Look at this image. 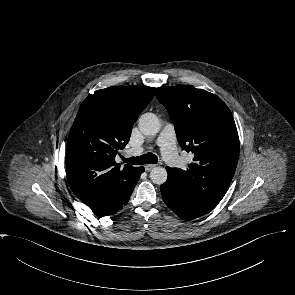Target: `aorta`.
Listing matches in <instances>:
<instances>
[{"instance_id":"aorta-1","label":"aorta","mask_w":295,"mask_h":295,"mask_svg":"<svg viewBox=\"0 0 295 295\" xmlns=\"http://www.w3.org/2000/svg\"><path fill=\"white\" fill-rule=\"evenodd\" d=\"M138 126L143 134L154 136L159 132L161 124L155 114L145 113L140 117ZM167 176L166 169L160 166L154 167L150 172L151 181L157 185L165 183Z\"/></svg>"}]
</instances>
